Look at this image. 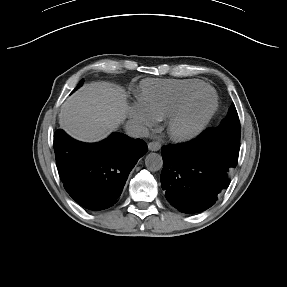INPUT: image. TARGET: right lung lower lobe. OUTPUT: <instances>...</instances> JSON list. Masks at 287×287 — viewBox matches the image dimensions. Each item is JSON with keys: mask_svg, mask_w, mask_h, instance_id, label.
<instances>
[{"mask_svg": "<svg viewBox=\"0 0 287 287\" xmlns=\"http://www.w3.org/2000/svg\"><path fill=\"white\" fill-rule=\"evenodd\" d=\"M141 139L115 132L99 143H82L59 129L54 135L58 172L68 194L90 210L111 207L129 172L147 152Z\"/></svg>", "mask_w": 287, "mask_h": 287, "instance_id": "1", "label": "right lung lower lobe"}]
</instances>
